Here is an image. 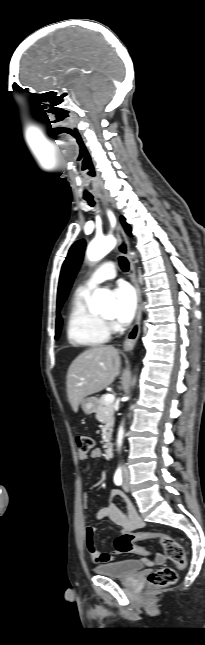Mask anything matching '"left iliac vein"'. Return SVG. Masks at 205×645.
Wrapping results in <instances>:
<instances>
[{"label":"left iliac vein","instance_id":"left-iliac-vein-1","mask_svg":"<svg viewBox=\"0 0 205 645\" xmlns=\"http://www.w3.org/2000/svg\"><path fill=\"white\" fill-rule=\"evenodd\" d=\"M122 487H123V489H124L126 492H128V491H129V474H128V473H126V474L124 475V479H123V485H122Z\"/></svg>","mask_w":205,"mask_h":645}]
</instances>
